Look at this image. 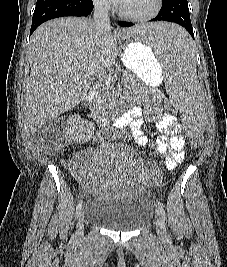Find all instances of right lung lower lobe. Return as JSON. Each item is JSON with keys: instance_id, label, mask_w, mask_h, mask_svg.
<instances>
[{"instance_id": "obj_1", "label": "right lung lower lobe", "mask_w": 227, "mask_h": 267, "mask_svg": "<svg viewBox=\"0 0 227 267\" xmlns=\"http://www.w3.org/2000/svg\"><path fill=\"white\" fill-rule=\"evenodd\" d=\"M92 10V0H37L30 35L47 20L63 16H88Z\"/></svg>"}]
</instances>
